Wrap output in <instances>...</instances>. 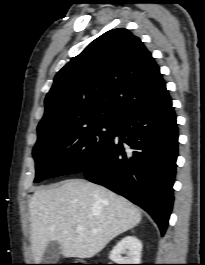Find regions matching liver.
Segmentation results:
<instances>
[{"mask_svg": "<svg viewBox=\"0 0 205 265\" xmlns=\"http://www.w3.org/2000/svg\"><path fill=\"white\" fill-rule=\"evenodd\" d=\"M29 212L36 264L51 241L60 244L64 257L91 258L142 218L124 197L82 179L35 191ZM78 226L84 230L78 232Z\"/></svg>", "mask_w": 205, "mask_h": 265, "instance_id": "obj_1", "label": "liver"}]
</instances>
